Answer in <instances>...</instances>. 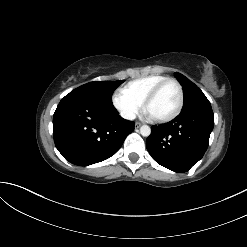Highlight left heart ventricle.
I'll return each instance as SVG.
<instances>
[{"label":"left heart ventricle","mask_w":247,"mask_h":247,"mask_svg":"<svg viewBox=\"0 0 247 247\" xmlns=\"http://www.w3.org/2000/svg\"><path fill=\"white\" fill-rule=\"evenodd\" d=\"M179 102L178 89L173 83L166 84L148 104L147 110L154 118H163L174 112Z\"/></svg>","instance_id":"obj_1"}]
</instances>
